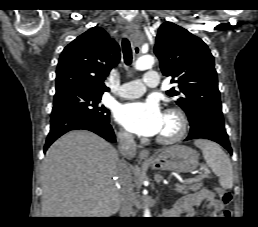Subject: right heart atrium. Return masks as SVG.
Masks as SVG:
<instances>
[{"mask_svg":"<svg viewBox=\"0 0 258 227\" xmlns=\"http://www.w3.org/2000/svg\"><path fill=\"white\" fill-rule=\"evenodd\" d=\"M119 139L122 142H130L132 140V136L129 132H127L126 130H121L119 132Z\"/></svg>","mask_w":258,"mask_h":227,"instance_id":"obj_1","label":"right heart atrium"}]
</instances>
